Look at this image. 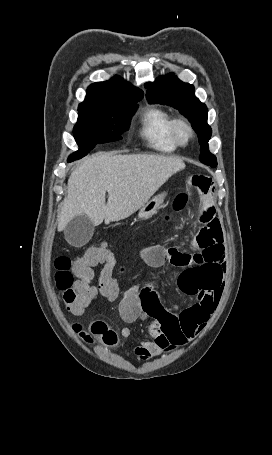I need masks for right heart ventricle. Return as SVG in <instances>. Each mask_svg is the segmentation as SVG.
<instances>
[{
    "label": "right heart ventricle",
    "instance_id": "right-heart-ventricle-1",
    "mask_svg": "<svg viewBox=\"0 0 272 455\" xmlns=\"http://www.w3.org/2000/svg\"><path fill=\"white\" fill-rule=\"evenodd\" d=\"M173 116L165 109L146 107L139 117V136L150 149L164 154L173 153L178 146L170 134Z\"/></svg>",
    "mask_w": 272,
    "mask_h": 455
}]
</instances>
